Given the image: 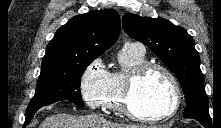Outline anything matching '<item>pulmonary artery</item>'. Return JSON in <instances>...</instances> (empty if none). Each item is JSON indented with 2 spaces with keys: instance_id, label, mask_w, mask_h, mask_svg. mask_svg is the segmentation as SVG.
Instances as JSON below:
<instances>
[{
  "instance_id": "obj_1",
  "label": "pulmonary artery",
  "mask_w": 221,
  "mask_h": 128,
  "mask_svg": "<svg viewBox=\"0 0 221 128\" xmlns=\"http://www.w3.org/2000/svg\"><path fill=\"white\" fill-rule=\"evenodd\" d=\"M127 44L135 46V47L138 48L140 51H144L143 45H142L141 43H139V42L127 43Z\"/></svg>"
}]
</instances>
